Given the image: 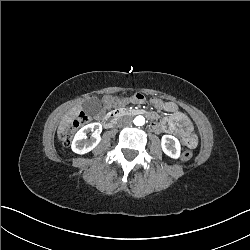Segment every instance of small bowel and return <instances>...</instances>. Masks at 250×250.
<instances>
[{
  "mask_svg": "<svg viewBox=\"0 0 250 250\" xmlns=\"http://www.w3.org/2000/svg\"><path fill=\"white\" fill-rule=\"evenodd\" d=\"M131 101H134L133 97H113L111 95H106L102 100V104L105 109H112L117 106L127 105ZM153 102L157 107L173 113L175 118L180 122L179 125L175 124L173 128L178 134L184 136L185 140L193 135V127L190 125L184 114L178 111L176 104L173 102H163L158 99H155ZM152 128L159 133L164 130L166 126L160 122H154Z\"/></svg>",
  "mask_w": 250,
  "mask_h": 250,
  "instance_id": "obj_1",
  "label": "small bowel"
}]
</instances>
